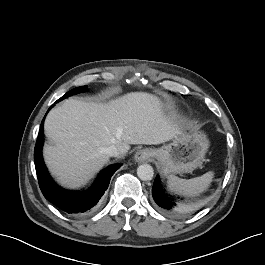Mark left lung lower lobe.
Segmentation results:
<instances>
[{
	"mask_svg": "<svg viewBox=\"0 0 265 265\" xmlns=\"http://www.w3.org/2000/svg\"><path fill=\"white\" fill-rule=\"evenodd\" d=\"M152 196L159 210L167 215H180L187 211V208L181 205L176 198L163 192L158 176L152 187Z\"/></svg>",
	"mask_w": 265,
	"mask_h": 265,
	"instance_id": "left-lung-lower-lobe-1",
	"label": "left lung lower lobe"
}]
</instances>
